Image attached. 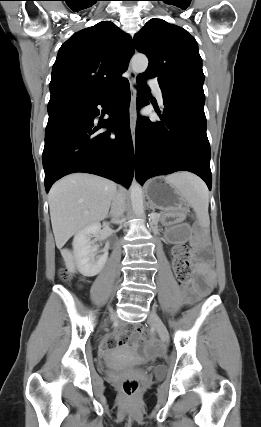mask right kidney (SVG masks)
I'll return each instance as SVG.
<instances>
[{
  "label": "right kidney",
  "instance_id": "obj_1",
  "mask_svg": "<svg viewBox=\"0 0 261 427\" xmlns=\"http://www.w3.org/2000/svg\"><path fill=\"white\" fill-rule=\"evenodd\" d=\"M101 231L99 222L80 230L73 239L74 255L78 270L84 276H95L103 269L108 259V250H102L98 255V245L91 240L98 237Z\"/></svg>",
  "mask_w": 261,
  "mask_h": 427
}]
</instances>
